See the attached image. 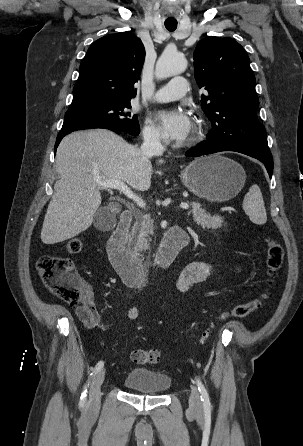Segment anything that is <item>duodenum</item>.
<instances>
[{
  "instance_id": "duodenum-1",
  "label": "duodenum",
  "mask_w": 303,
  "mask_h": 446,
  "mask_svg": "<svg viewBox=\"0 0 303 446\" xmlns=\"http://www.w3.org/2000/svg\"><path fill=\"white\" fill-rule=\"evenodd\" d=\"M132 213L123 211L107 242L109 260L123 281L130 286H139L145 280L146 264L141 258L131 255L125 248L124 237L132 222ZM190 241L187 232L180 227L170 228L164 235L159 250L151 260L156 272L167 270L182 248Z\"/></svg>"
}]
</instances>
